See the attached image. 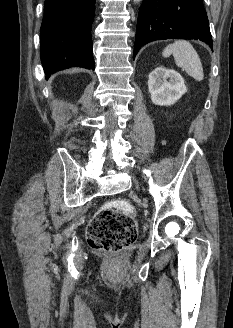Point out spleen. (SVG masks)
Listing matches in <instances>:
<instances>
[{
    "label": "spleen",
    "instance_id": "obj_1",
    "mask_svg": "<svg viewBox=\"0 0 233 328\" xmlns=\"http://www.w3.org/2000/svg\"><path fill=\"white\" fill-rule=\"evenodd\" d=\"M162 55L163 57L173 55L178 67L185 70L196 81L203 80L204 73L200 58L189 41L177 40L169 44L163 50Z\"/></svg>",
    "mask_w": 233,
    "mask_h": 328
}]
</instances>
